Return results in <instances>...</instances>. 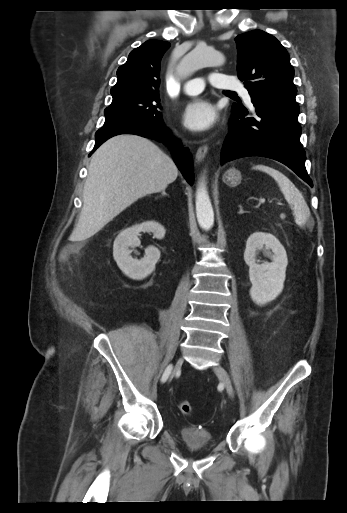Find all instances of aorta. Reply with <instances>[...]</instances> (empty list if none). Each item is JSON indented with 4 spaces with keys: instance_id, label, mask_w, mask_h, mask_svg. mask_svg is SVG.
Returning a JSON list of instances; mask_svg holds the SVG:
<instances>
[{
    "instance_id": "aorta-1",
    "label": "aorta",
    "mask_w": 347,
    "mask_h": 513,
    "mask_svg": "<svg viewBox=\"0 0 347 513\" xmlns=\"http://www.w3.org/2000/svg\"><path fill=\"white\" fill-rule=\"evenodd\" d=\"M224 62L225 58L220 52L212 51L205 44L200 43L182 58L177 70L180 77L186 78L199 69L222 66ZM196 214L198 223L203 229L212 228L214 212L204 177L199 181L196 190Z\"/></svg>"
}]
</instances>
